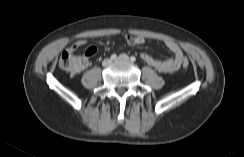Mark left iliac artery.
<instances>
[{
  "label": "left iliac artery",
  "instance_id": "44dca946",
  "mask_svg": "<svg viewBox=\"0 0 244 157\" xmlns=\"http://www.w3.org/2000/svg\"><path fill=\"white\" fill-rule=\"evenodd\" d=\"M130 60H131L132 62H135V61H136V58H135L134 56H131Z\"/></svg>",
  "mask_w": 244,
  "mask_h": 157
}]
</instances>
